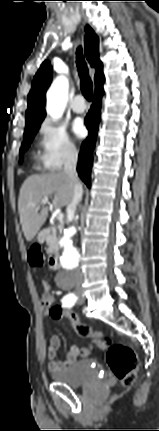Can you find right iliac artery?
<instances>
[{
  "mask_svg": "<svg viewBox=\"0 0 159 431\" xmlns=\"http://www.w3.org/2000/svg\"><path fill=\"white\" fill-rule=\"evenodd\" d=\"M76 301L77 297L74 293H69L62 299L63 306L68 308L72 307Z\"/></svg>",
  "mask_w": 159,
  "mask_h": 431,
  "instance_id": "1",
  "label": "right iliac artery"
}]
</instances>
